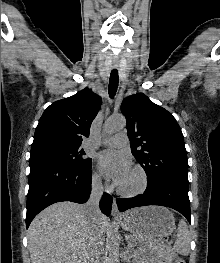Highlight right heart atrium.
I'll return each instance as SVG.
<instances>
[{
    "instance_id": "right-heart-atrium-1",
    "label": "right heart atrium",
    "mask_w": 220,
    "mask_h": 263,
    "mask_svg": "<svg viewBox=\"0 0 220 263\" xmlns=\"http://www.w3.org/2000/svg\"><path fill=\"white\" fill-rule=\"evenodd\" d=\"M91 183L93 187L100 189L103 186L102 177L98 171L93 170L91 173Z\"/></svg>"
}]
</instances>
